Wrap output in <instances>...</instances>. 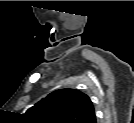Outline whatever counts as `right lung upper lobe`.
Returning a JSON list of instances; mask_svg holds the SVG:
<instances>
[{
    "label": "right lung upper lobe",
    "instance_id": "right-lung-upper-lobe-1",
    "mask_svg": "<svg viewBox=\"0 0 134 123\" xmlns=\"http://www.w3.org/2000/svg\"><path fill=\"white\" fill-rule=\"evenodd\" d=\"M33 123H96L90 98L79 90L60 89L27 110Z\"/></svg>",
    "mask_w": 134,
    "mask_h": 123
}]
</instances>
